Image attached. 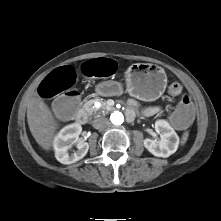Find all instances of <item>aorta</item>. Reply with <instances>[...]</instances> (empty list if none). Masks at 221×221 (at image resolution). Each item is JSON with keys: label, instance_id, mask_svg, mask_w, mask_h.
<instances>
[{"label": "aorta", "instance_id": "aorta-1", "mask_svg": "<svg viewBox=\"0 0 221 221\" xmlns=\"http://www.w3.org/2000/svg\"><path fill=\"white\" fill-rule=\"evenodd\" d=\"M110 121L114 125H121L124 122V116L121 112L115 111L111 114Z\"/></svg>", "mask_w": 221, "mask_h": 221}]
</instances>
